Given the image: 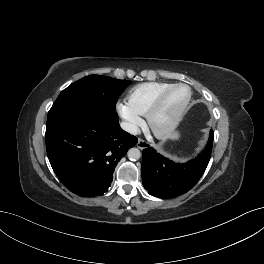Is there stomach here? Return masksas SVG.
<instances>
[{"mask_svg": "<svg viewBox=\"0 0 264 264\" xmlns=\"http://www.w3.org/2000/svg\"><path fill=\"white\" fill-rule=\"evenodd\" d=\"M179 137V134L178 133H174L173 135H172V139H177Z\"/></svg>", "mask_w": 264, "mask_h": 264, "instance_id": "1", "label": "stomach"}]
</instances>
